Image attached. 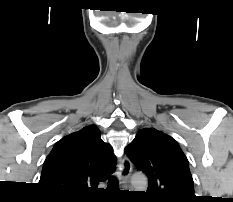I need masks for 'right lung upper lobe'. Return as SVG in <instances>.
Here are the masks:
<instances>
[{"instance_id": "right-lung-upper-lobe-1", "label": "right lung upper lobe", "mask_w": 233, "mask_h": 202, "mask_svg": "<svg viewBox=\"0 0 233 202\" xmlns=\"http://www.w3.org/2000/svg\"><path fill=\"white\" fill-rule=\"evenodd\" d=\"M116 161L112 147L90 125L56 143L44 162L40 184L57 196L83 197L115 171Z\"/></svg>"}]
</instances>
